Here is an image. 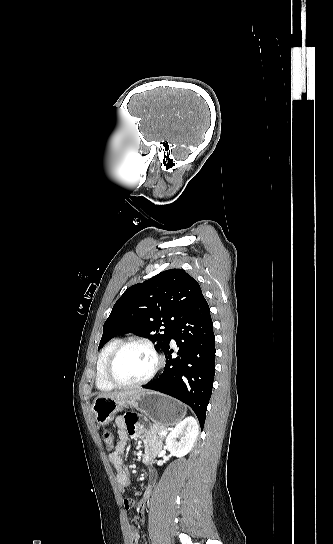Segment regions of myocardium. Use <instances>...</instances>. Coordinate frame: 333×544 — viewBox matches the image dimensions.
<instances>
[{
  "label": "myocardium",
  "mask_w": 333,
  "mask_h": 544,
  "mask_svg": "<svg viewBox=\"0 0 333 544\" xmlns=\"http://www.w3.org/2000/svg\"><path fill=\"white\" fill-rule=\"evenodd\" d=\"M132 345L141 346V347L147 349L152 354V356L154 358V366H153L151 372L149 373V375L146 376L145 378H143V379H141L139 381H136V382L126 383V382H122V381L118 380L115 377V375H114V365H115V362H116L118 356L120 355V353L125 348H127L129 346H132ZM163 364H164L163 357L158 352V350L156 349V347L154 346V344L152 342H150L148 340H145V339H138V338L128 339V340L120 342L116 346V348L112 351L110 356L108 357V360H107V363H106V366H105V377H106L107 381L111 385H113L114 387H118V388L139 387V386H143V385L149 383L150 381H152L155 378V376L158 374V372L161 370V368L163 367Z\"/></svg>",
  "instance_id": "1"
}]
</instances>
